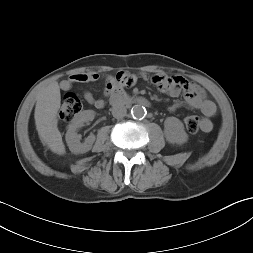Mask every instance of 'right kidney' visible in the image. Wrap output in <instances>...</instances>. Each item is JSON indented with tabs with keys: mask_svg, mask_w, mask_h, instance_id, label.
I'll use <instances>...</instances> for the list:
<instances>
[{
	"mask_svg": "<svg viewBox=\"0 0 253 253\" xmlns=\"http://www.w3.org/2000/svg\"><path fill=\"white\" fill-rule=\"evenodd\" d=\"M95 113L92 110H85L76 116L71 124L68 126L66 133V142L69 150L74 154L86 153L91 148L95 141V136L91 134L88 136L84 143L80 142L81 136L77 134V129L82 127L85 122L94 119Z\"/></svg>",
	"mask_w": 253,
	"mask_h": 253,
	"instance_id": "1",
	"label": "right kidney"
}]
</instances>
